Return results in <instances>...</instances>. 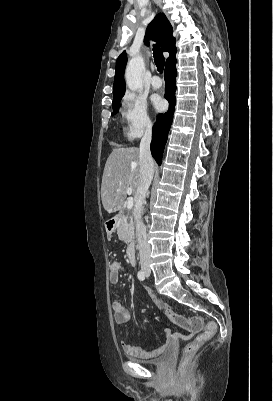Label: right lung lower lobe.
<instances>
[{"instance_id":"right-lung-lower-lobe-1","label":"right lung lower lobe","mask_w":273,"mask_h":401,"mask_svg":"<svg viewBox=\"0 0 273 401\" xmlns=\"http://www.w3.org/2000/svg\"><path fill=\"white\" fill-rule=\"evenodd\" d=\"M176 60L165 66V98L169 101V110L164 114H159L153 127L151 153L158 165H161L164 147L168 138V132L173 121L175 108L176 90Z\"/></svg>"}]
</instances>
